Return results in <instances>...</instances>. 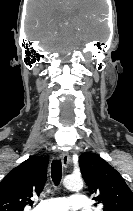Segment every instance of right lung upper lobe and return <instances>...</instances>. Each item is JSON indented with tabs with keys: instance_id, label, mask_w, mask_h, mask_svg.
<instances>
[{
	"instance_id": "right-lung-upper-lobe-1",
	"label": "right lung upper lobe",
	"mask_w": 133,
	"mask_h": 211,
	"mask_svg": "<svg viewBox=\"0 0 133 211\" xmlns=\"http://www.w3.org/2000/svg\"><path fill=\"white\" fill-rule=\"evenodd\" d=\"M47 157L32 156L10 171L0 183V211H23L32 205L46 182Z\"/></svg>"
}]
</instances>
